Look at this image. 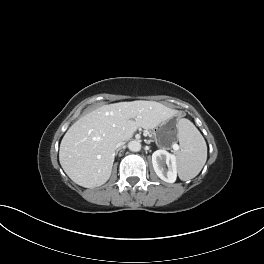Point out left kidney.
Instances as JSON below:
<instances>
[{
    "mask_svg": "<svg viewBox=\"0 0 264 264\" xmlns=\"http://www.w3.org/2000/svg\"><path fill=\"white\" fill-rule=\"evenodd\" d=\"M152 164L157 176L165 182L174 183L177 178V165L175 155L164 149L152 154ZM167 165V169L165 168Z\"/></svg>",
    "mask_w": 264,
    "mask_h": 264,
    "instance_id": "1",
    "label": "left kidney"
}]
</instances>
